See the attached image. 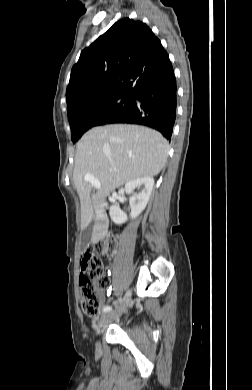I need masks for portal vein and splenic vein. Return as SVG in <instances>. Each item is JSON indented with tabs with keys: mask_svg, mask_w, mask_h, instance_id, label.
Returning a JSON list of instances; mask_svg holds the SVG:
<instances>
[{
	"mask_svg": "<svg viewBox=\"0 0 252 390\" xmlns=\"http://www.w3.org/2000/svg\"><path fill=\"white\" fill-rule=\"evenodd\" d=\"M84 180L89 182L96 189L101 187L100 182L91 174H86Z\"/></svg>",
	"mask_w": 252,
	"mask_h": 390,
	"instance_id": "1",
	"label": "portal vein and splenic vein"
}]
</instances>
